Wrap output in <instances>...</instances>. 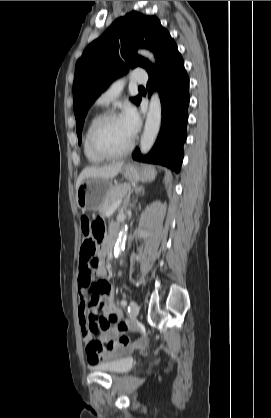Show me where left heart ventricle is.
<instances>
[{
  "label": "left heart ventricle",
  "instance_id": "left-heart-ventricle-1",
  "mask_svg": "<svg viewBox=\"0 0 271 418\" xmlns=\"http://www.w3.org/2000/svg\"><path fill=\"white\" fill-rule=\"evenodd\" d=\"M131 139L120 117L106 122L97 135L98 144L109 152H119L125 149Z\"/></svg>",
  "mask_w": 271,
  "mask_h": 418
}]
</instances>
